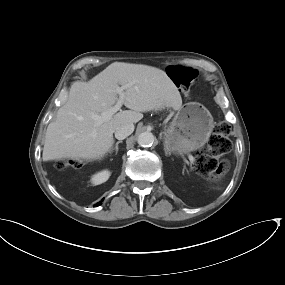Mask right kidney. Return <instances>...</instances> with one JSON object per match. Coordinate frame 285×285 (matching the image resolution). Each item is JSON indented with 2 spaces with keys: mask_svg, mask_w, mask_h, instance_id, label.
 <instances>
[{
  "mask_svg": "<svg viewBox=\"0 0 285 285\" xmlns=\"http://www.w3.org/2000/svg\"><path fill=\"white\" fill-rule=\"evenodd\" d=\"M109 177H110V172L108 170H103L94 174L91 178V182L94 185H99L106 182L109 179Z\"/></svg>",
  "mask_w": 285,
  "mask_h": 285,
  "instance_id": "1",
  "label": "right kidney"
}]
</instances>
